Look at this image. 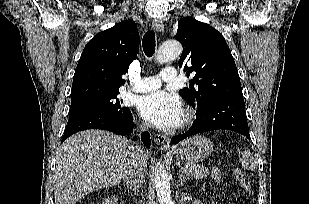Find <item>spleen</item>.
<instances>
[{"label":"spleen","instance_id":"1","mask_svg":"<svg viewBox=\"0 0 309 204\" xmlns=\"http://www.w3.org/2000/svg\"><path fill=\"white\" fill-rule=\"evenodd\" d=\"M241 155L240 162L244 169L253 171L256 169V161L249 151L239 152Z\"/></svg>","mask_w":309,"mask_h":204}]
</instances>
